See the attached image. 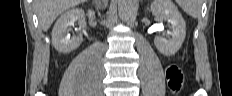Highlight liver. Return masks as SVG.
<instances>
[{
    "instance_id": "obj_1",
    "label": "liver",
    "mask_w": 232,
    "mask_h": 96,
    "mask_svg": "<svg viewBox=\"0 0 232 96\" xmlns=\"http://www.w3.org/2000/svg\"><path fill=\"white\" fill-rule=\"evenodd\" d=\"M82 2L85 0H35L40 27L47 31L58 15Z\"/></svg>"
}]
</instances>
